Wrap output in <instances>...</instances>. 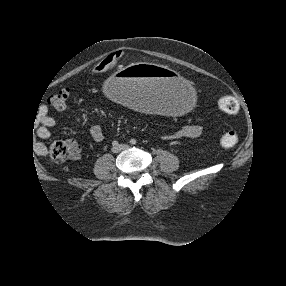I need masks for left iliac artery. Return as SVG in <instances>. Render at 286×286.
I'll use <instances>...</instances> for the list:
<instances>
[{
	"label": "left iliac artery",
	"mask_w": 286,
	"mask_h": 286,
	"mask_svg": "<svg viewBox=\"0 0 286 286\" xmlns=\"http://www.w3.org/2000/svg\"><path fill=\"white\" fill-rule=\"evenodd\" d=\"M130 143H131L132 145H135V144L137 143V141H136L135 139H131V140H130Z\"/></svg>",
	"instance_id": "left-iliac-artery-1"
}]
</instances>
